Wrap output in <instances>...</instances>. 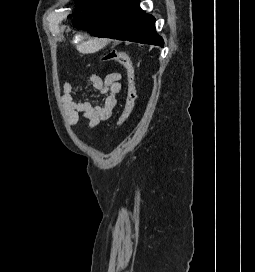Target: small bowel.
Masks as SVG:
<instances>
[{"label": "small bowel", "instance_id": "small-bowel-1", "mask_svg": "<svg viewBox=\"0 0 255 272\" xmlns=\"http://www.w3.org/2000/svg\"><path fill=\"white\" fill-rule=\"evenodd\" d=\"M88 81L103 99L99 104L79 102L75 100L73 85L67 82L63 86L61 103L70 125L78 123L80 116L84 117L90 128L96 127L101 121L111 117L117 104V94L121 90V75L117 72L109 73L105 78L96 74L88 76Z\"/></svg>", "mask_w": 255, "mask_h": 272}]
</instances>
